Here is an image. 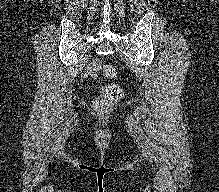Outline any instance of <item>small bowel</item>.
<instances>
[{
	"instance_id": "1",
	"label": "small bowel",
	"mask_w": 219,
	"mask_h": 192,
	"mask_svg": "<svg viewBox=\"0 0 219 192\" xmlns=\"http://www.w3.org/2000/svg\"><path fill=\"white\" fill-rule=\"evenodd\" d=\"M101 62L99 60L92 61L85 69V76L94 78L97 75Z\"/></svg>"
}]
</instances>
